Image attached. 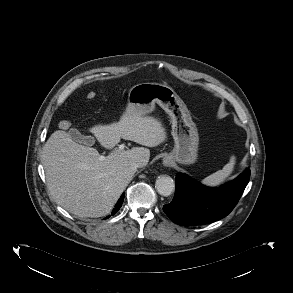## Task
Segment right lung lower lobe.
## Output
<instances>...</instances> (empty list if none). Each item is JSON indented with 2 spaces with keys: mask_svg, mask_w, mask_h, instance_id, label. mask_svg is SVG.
I'll use <instances>...</instances> for the list:
<instances>
[{
  "mask_svg": "<svg viewBox=\"0 0 293 293\" xmlns=\"http://www.w3.org/2000/svg\"><path fill=\"white\" fill-rule=\"evenodd\" d=\"M123 200H124V194H122V196L118 200L117 204L115 205V208L112 211V215H114L121 208Z\"/></svg>",
  "mask_w": 293,
  "mask_h": 293,
  "instance_id": "right-lung-lower-lobe-1",
  "label": "right lung lower lobe"
}]
</instances>
